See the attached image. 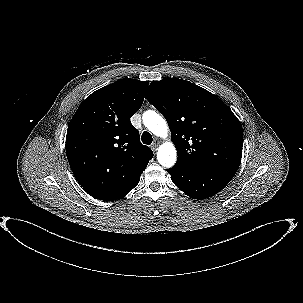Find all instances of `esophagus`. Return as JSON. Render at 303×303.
<instances>
[{"mask_svg":"<svg viewBox=\"0 0 303 303\" xmlns=\"http://www.w3.org/2000/svg\"><path fill=\"white\" fill-rule=\"evenodd\" d=\"M160 144V141L156 139L154 143L151 145V149L155 152L158 149V146Z\"/></svg>","mask_w":303,"mask_h":303,"instance_id":"obj_1","label":"esophagus"}]
</instances>
